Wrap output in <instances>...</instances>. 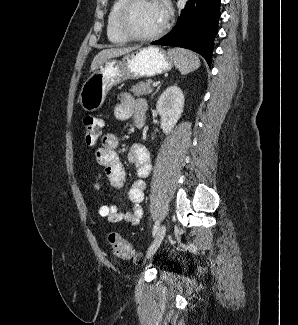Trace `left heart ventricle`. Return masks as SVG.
<instances>
[{
	"label": "left heart ventricle",
	"instance_id": "obj_1",
	"mask_svg": "<svg viewBox=\"0 0 298 325\" xmlns=\"http://www.w3.org/2000/svg\"><path fill=\"white\" fill-rule=\"evenodd\" d=\"M165 22L163 8L152 0L136 3L128 12L125 25L136 36H148L162 27Z\"/></svg>",
	"mask_w": 298,
	"mask_h": 325
}]
</instances>
